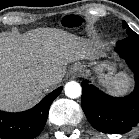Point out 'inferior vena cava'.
<instances>
[{
  "label": "inferior vena cava",
  "instance_id": "obj_1",
  "mask_svg": "<svg viewBox=\"0 0 139 139\" xmlns=\"http://www.w3.org/2000/svg\"><path fill=\"white\" fill-rule=\"evenodd\" d=\"M54 79L51 76H45L39 80V87L44 89L54 84Z\"/></svg>",
  "mask_w": 139,
  "mask_h": 139
}]
</instances>
